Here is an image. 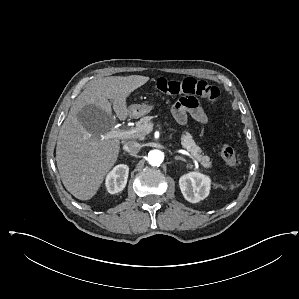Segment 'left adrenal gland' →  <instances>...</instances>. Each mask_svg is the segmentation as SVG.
I'll use <instances>...</instances> for the list:
<instances>
[{"mask_svg":"<svg viewBox=\"0 0 299 299\" xmlns=\"http://www.w3.org/2000/svg\"><path fill=\"white\" fill-rule=\"evenodd\" d=\"M175 160H181V161H186L184 158L180 157V156H175L174 157Z\"/></svg>","mask_w":299,"mask_h":299,"instance_id":"1","label":"left adrenal gland"}]
</instances>
